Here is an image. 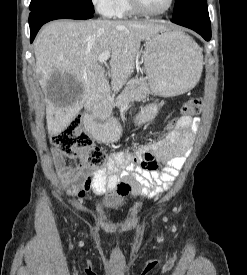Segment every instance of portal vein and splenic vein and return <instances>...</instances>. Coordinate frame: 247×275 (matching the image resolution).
I'll return each instance as SVG.
<instances>
[{
    "label": "portal vein and splenic vein",
    "mask_w": 247,
    "mask_h": 275,
    "mask_svg": "<svg viewBox=\"0 0 247 275\" xmlns=\"http://www.w3.org/2000/svg\"><path fill=\"white\" fill-rule=\"evenodd\" d=\"M111 53L110 51H105L99 55L98 61L99 63L103 64L106 63V61L110 58Z\"/></svg>",
    "instance_id": "1"
}]
</instances>
